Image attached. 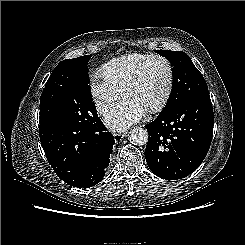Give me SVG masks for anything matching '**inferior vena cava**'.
Returning a JSON list of instances; mask_svg holds the SVG:
<instances>
[{
    "mask_svg": "<svg viewBox=\"0 0 245 245\" xmlns=\"http://www.w3.org/2000/svg\"><path fill=\"white\" fill-rule=\"evenodd\" d=\"M103 107H104V104L103 103H98L97 104V110L98 111H102Z\"/></svg>",
    "mask_w": 245,
    "mask_h": 245,
    "instance_id": "602c4592",
    "label": "inferior vena cava"
}]
</instances>
